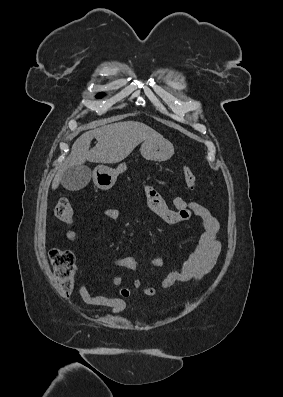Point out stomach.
<instances>
[{"mask_svg":"<svg viewBox=\"0 0 283 397\" xmlns=\"http://www.w3.org/2000/svg\"><path fill=\"white\" fill-rule=\"evenodd\" d=\"M140 152L143 158L150 161L162 162L171 158L174 154L173 144L164 138L159 140H146L143 142ZM127 169L125 163L113 169L105 165H98L93 171L95 185L102 189H110L116 182L120 173Z\"/></svg>","mask_w":283,"mask_h":397,"instance_id":"1","label":"stomach"}]
</instances>
